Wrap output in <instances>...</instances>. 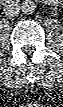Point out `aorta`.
Listing matches in <instances>:
<instances>
[{
  "label": "aorta",
  "mask_w": 63,
  "mask_h": 107,
  "mask_svg": "<svg viewBox=\"0 0 63 107\" xmlns=\"http://www.w3.org/2000/svg\"><path fill=\"white\" fill-rule=\"evenodd\" d=\"M21 10L25 14H32L36 10V4L32 0H25L21 5Z\"/></svg>",
  "instance_id": "aorta-1"
}]
</instances>
